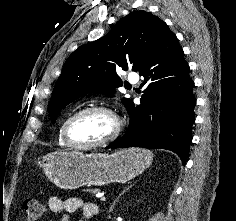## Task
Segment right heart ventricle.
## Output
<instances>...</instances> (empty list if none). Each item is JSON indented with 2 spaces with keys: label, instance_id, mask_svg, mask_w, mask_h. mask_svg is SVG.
<instances>
[{
  "label": "right heart ventricle",
  "instance_id": "right-heart-ventricle-1",
  "mask_svg": "<svg viewBox=\"0 0 236 221\" xmlns=\"http://www.w3.org/2000/svg\"><path fill=\"white\" fill-rule=\"evenodd\" d=\"M66 120H67V118L64 119V120L61 122V124H60V126H59V129H58V144H59V146H61L62 148H67V147H69V146L65 143V141H64V139H63V126H64V123H65Z\"/></svg>",
  "mask_w": 236,
  "mask_h": 221
}]
</instances>
